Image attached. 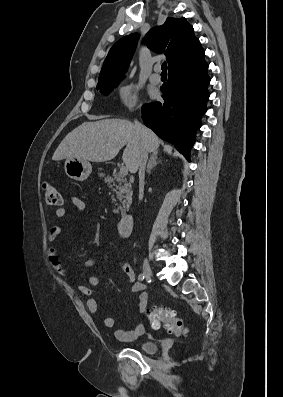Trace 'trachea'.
I'll return each mask as SVG.
<instances>
[{
    "instance_id": "trachea-1",
    "label": "trachea",
    "mask_w": 283,
    "mask_h": 397,
    "mask_svg": "<svg viewBox=\"0 0 283 397\" xmlns=\"http://www.w3.org/2000/svg\"><path fill=\"white\" fill-rule=\"evenodd\" d=\"M162 72L161 75H167V63L164 62L161 66Z\"/></svg>"
}]
</instances>
